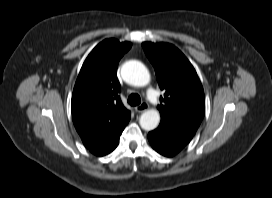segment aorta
Listing matches in <instances>:
<instances>
[{
	"label": "aorta",
	"mask_w": 272,
	"mask_h": 198,
	"mask_svg": "<svg viewBox=\"0 0 272 198\" xmlns=\"http://www.w3.org/2000/svg\"><path fill=\"white\" fill-rule=\"evenodd\" d=\"M123 79L134 86H146L150 82V74L143 63L136 60L126 62L121 69ZM160 122V114L155 109H150L140 116V126L142 129L154 130Z\"/></svg>",
	"instance_id": "1"
}]
</instances>
